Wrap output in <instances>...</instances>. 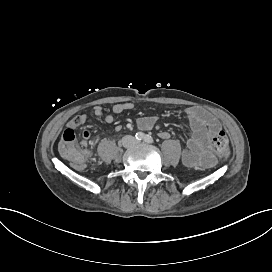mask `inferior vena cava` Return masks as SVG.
I'll return each mask as SVG.
<instances>
[{
	"label": "inferior vena cava",
	"instance_id": "1",
	"mask_svg": "<svg viewBox=\"0 0 272 272\" xmlns=\"http://www.w3.org/2000/svg\"><path fill=\"white\" fill-rule=\"evenodd\" d=\"M124 139H125L126 141L131 142V144H134V143H135V138H134L133 136L127 135V136L124 137Z\"/></svg>",
	"mask_w": 272,
	"mask_h": 272
}]
</instances>
